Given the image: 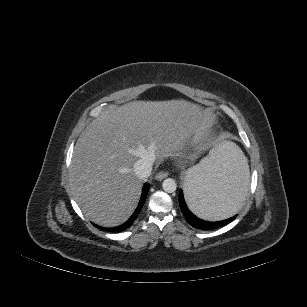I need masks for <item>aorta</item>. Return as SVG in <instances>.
I'll return each mask as SVG.
<instances>
[{"label": "aorta", "instance_id": "762f6f07", "mask_svg": "<svg viewBox=\"0 0 307 307\" xmlns=\"http://www.w3.org/2000/svg\"><path fill=\"white\" fill-rule=\"evenodd\" d=\"M162 188L167 193H173L177 189V184L174 179L167 178L163 181Z\"/></svg>", "mask_w": 307, "mask_h": 307}]
</instances>
